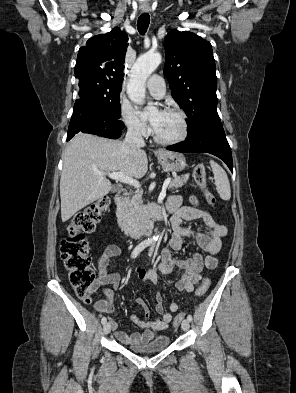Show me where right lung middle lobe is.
Masks as SVG:
<instances>
[{
  "label": "right lung middle lobe",
  "instance_id": "dd1d6c3e",
  "mask_svg": "<svg viewBox=\"0 0 296 393\" xmlns=\"http://www.w3.org/2000/svg\"><path fill=\"white\" fill-rule=\"evenodd\" d=\"M79 87L80 99L97 105L101 109L109 112L116 119L121 117V90L111 88L92 79L79 81Z\"/></svg>",
  "mask_w": 296,
  "mask_h": 393
}]
</instances>
